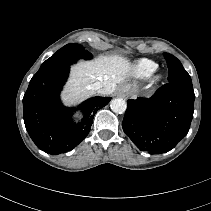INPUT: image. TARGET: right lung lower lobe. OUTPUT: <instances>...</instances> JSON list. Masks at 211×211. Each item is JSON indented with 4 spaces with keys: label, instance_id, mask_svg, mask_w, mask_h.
I'll list each match as a JSON object with an SVG mask.
<instances>
[{
    "label": "right lung lower lobe",
    "instance_id": "1",
    "mask_svg": "<svg viewBox=\"0 0 211 211\" xmlns=\"http://www.w3.org/2000/svg\"><path fill=\"white\" fill-rule=\"evenodd\" d=\"M69 66L37 72L23 98L24 123L36 146L50 154L75 148L89 133L95 113L107 105L111 97H94L78 106L83 119L76 123L75 109L64 107L60 91L67 80Z\"/></svg>",
    "mask_w": 211,
    "mask_h": 211
}]
</instances>
